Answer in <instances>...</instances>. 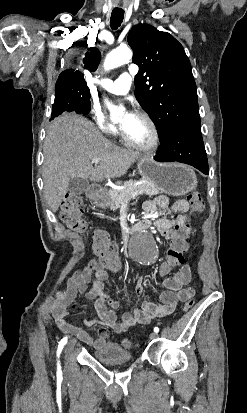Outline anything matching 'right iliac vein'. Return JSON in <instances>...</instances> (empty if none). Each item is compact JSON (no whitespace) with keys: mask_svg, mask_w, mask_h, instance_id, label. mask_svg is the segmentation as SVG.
<instances>
[{"mask_svg":"<svg viewBox=\"0 0 247 413\" xmlns=\"http://www.w3.org/2000/svg\"><path fill=\"white\" fill-rule=\"evenodd\" d=\"M74 346H75V339H73V340H71L67 343L66 348H65V353H66L65 354V361L66 362H68V356L70 355V352L73 350Z\"/></svg>","mask_w":247,"mask_h":413,"instance_id":"right-iliac-vein-1","label":"right iliac vein"}]
</instances>
